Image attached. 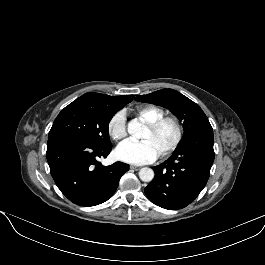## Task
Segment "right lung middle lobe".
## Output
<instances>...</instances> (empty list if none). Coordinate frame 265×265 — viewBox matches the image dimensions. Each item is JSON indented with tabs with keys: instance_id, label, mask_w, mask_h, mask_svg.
<instances>
[{
	"instance_id": "obj_1",
	"label": "right lung middle lobe",
	"mask_w": 265,
	"mask_h": 265,
	"mask_svg": "<svg viewBox=\"0 0 265 265\" xmlns=\"http://www.w3.org/2000/svg\"><path fill=\"white\" fill-rule=\"evenodd\" d=\"M117 111H108L86 102L73 101L59 113L48 138L73 135L99 146H111L108 126Z\"/></svg>"
}]
</instances>
